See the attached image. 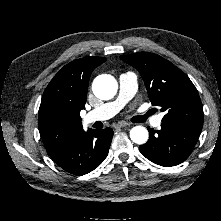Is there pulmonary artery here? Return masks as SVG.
Returning a JSON list of instances; mask_svg holds the SVG:
<instances>
[{"instance_id": "pulmonary-artery-1", "label": "pulmonary artery", "mask_w": 221, "mask_h": 221, "mask_svg": "<svg viewBox=\"0 0 221 221\" xmlns=\"http://www.w3.org/2000/svg\"><path fill=\"white\" fill-rule=\"evenodd\" d=\"M136 80V75L132 72L121 74L119 77V93L117 98L87 113L84 117V122L89 124L96 121H104L116 115L134 97L137 89ZM161 122V114L152 119L154 127H159Z\"/></svg>"}]
</instances>
